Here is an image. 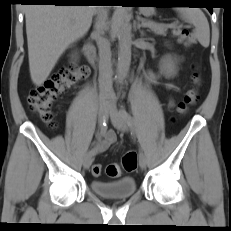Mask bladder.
I'll use <instances>...</instances> for the list:
<instances>
[{
    "mask_svg": "<svg viewBox=\"0 0 231 231\" xmlns=\"http://www.w3.org/2000/svg\"><path fill=\"white\" fill-rule=\"evenodd\" d=\"M90 188L93 192L105 198H127L136 191V180L131 176L109 182L92 180Z\"/></svg>",
    "mask_w": 231,
    "mask_h": 231,
    "instance_id": "1",
    "label": "bladder"
}]
</instances>
